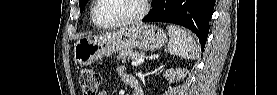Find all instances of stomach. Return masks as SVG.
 <instances>
[{
    "label": "stomach",
    "instance_id": "1",
    "mask_svg": "<svg viewBox=\"0 0 277 95\" xmlns=\"http://www.w3.org/2000/svg\"><path fill=\"white\" fill-rule=\"evenodd\" d=\"M166 41L167 35L161 28L153 24H138L79 39L73 49L74 60L80 66H88L104 56L127 49L157 50Z\"/></svg>",
    "mask_w": 277,
    "mask_h": 95
}]
</instances>
